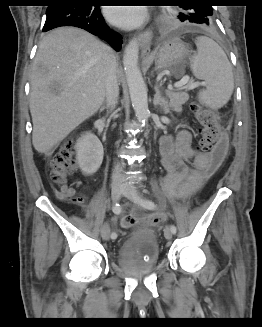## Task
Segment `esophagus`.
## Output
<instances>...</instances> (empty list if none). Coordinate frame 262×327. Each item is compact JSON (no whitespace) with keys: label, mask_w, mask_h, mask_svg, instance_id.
<instances>
[{"label":"esophagus","mask_w":262,"mask_h":327,"mask_svg":"<svg viewBox=\"0 0 262 327\" xmlns=\"http://www.w3.org/2000/svg\"><path fill=\"white\" fill-rule=\"evenodd\" d=\"M152 30L147 29L139 33V40L141 43L142 55L147 56L150 54V46L152 41Z\"/></svg>","instance_id":"1"}]
</instances>
